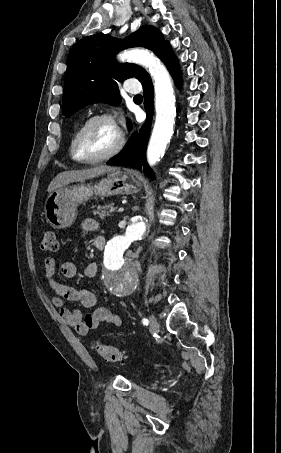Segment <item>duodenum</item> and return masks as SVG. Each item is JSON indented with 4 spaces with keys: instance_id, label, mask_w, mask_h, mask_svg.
<instances>
[{
    "instance_id": "410a0bca",
    "label": "duodenum",
    "mask_w": 281,
    "mask_h": 453,
    "mask_svg": "<svg viewBox=\"0 0 281 453\" xmlns=\"http://www.w3.org/2000/svg\"><path fill=\"white\" fill-rule=\"evenodd\" d=\"M105 239L102 237L98 240L97 244H96V248L99 250V251H102L104 248H105Z\"/></svg>"
}]
</instances>
